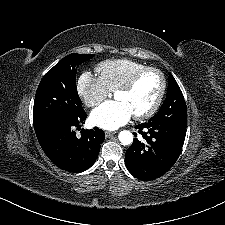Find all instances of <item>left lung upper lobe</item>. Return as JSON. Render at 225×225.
Returning <instances> with one entry per match:
<instances>
[{"label":"left lung upper lobe","instance_id":"5c2ea615","mask_svg":"<svg viewBox=\"0 0 225 225\" xmlns=\"http://www.w3.org/2000/svg\"><path fill=\"white\" fill-rule=\"evenodd\" d=\"M154 124H170L185 128L187 126V109L183 94L169 73L168 93L159 112L149 119Z\"/></svg>","mask_w":225,"mask_h":225}]
</instances>
